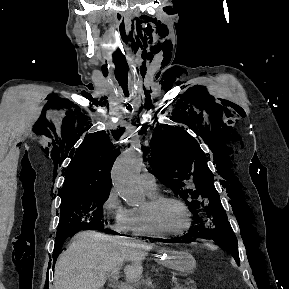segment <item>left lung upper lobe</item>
I'll use <instances>...</instances> for the list:
<instances>
[{"label": "left lung upper lobe", "instance_id": "1", "mask_svg": "<svg viewBox=\"0 0 289 289\" xmlns=\"http://www.w3.org/2000/svg\"><path fill=\"white\" fill-rule=\"evenodd\" d=\"M161 127L153 133L144 154L150 172L187 202L195 218L189 233H211L213 240L229 249L239 263L237 238L227 221L204 152L183 129Z\"/></svg>", "mask_w": 289, "mask_h": 289}]
</instances>
